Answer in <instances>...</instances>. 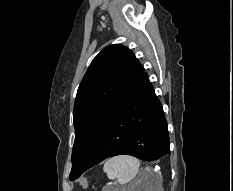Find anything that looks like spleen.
<instances>
[{
  "label": "spleen",
  "mask_w": 233,
  "mask_h": 191,
  "mask_svg": "<svg viewBox=\"0 0 233 191\" xmlns=\"http://www.w3.org/2000/svg\"><path fill=\"white\" fill-rule=\"evenodd\" d=\"M139 167L140 162L137 158L121 155L107 160L103 166V170L109 179H117L119 184L125 185L136 177ZM146 173L152 174L150 170Z\"/></svg>",
  "instance_id": "obj_1"
}]
</instances>
